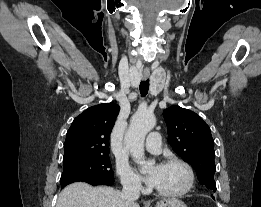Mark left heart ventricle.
Returning <instances> with one entry per match:
<instances>
[{
  "label": "left heart ventricle",
  "mask_w": 261,
  "mask_h": 207,
  "mask_svg": "<svg viewBox=\"0 0 261 207\" xmlns=\"http://www.w3.org/2000/svg\"><path fill=\"white\" fill-rule=\"evenodd\" d=\"M157 170L155 188L162 191L173 192L180 190L186 183V172L179 165H159L151 169Z\"/></svg>",
  "instance_id": "b2bd125f"
}]
</instances>
